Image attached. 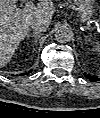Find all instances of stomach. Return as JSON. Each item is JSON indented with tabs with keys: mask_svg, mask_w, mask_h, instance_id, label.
Here are the masks:
<instances>
[{
	"mask_svg": "<svg viewBox=\"0 0 100 118\" xmlns=\"http://www.w3.org/2000/svg\"><path fill=\"white\" fill-rule=\"evenodd\" d=\"M95 0H74L75 5L79 9L77 18L80 22H86L91 19L94 13Z\"/></svg>",
	"mask_w": 100,
	"mask_h": 118,
	"instance_id": "stomach-1",
	"label": "stomach"
}]
</instances>
